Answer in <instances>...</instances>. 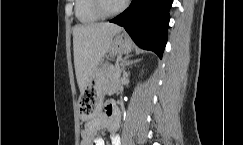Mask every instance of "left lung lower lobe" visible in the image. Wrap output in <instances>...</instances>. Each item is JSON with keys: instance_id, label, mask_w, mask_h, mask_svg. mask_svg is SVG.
I'll return each mask as SVG.
<instances>
[{"instance_id": "left-lung-lower-lobe-1", "label": "left lung lower lobe", "mask_w": 243, "mask_h": 145, "mask_svg": "<svg viewBox=\"0 0 243 145\" xmlns=\"http://www.w3.org/2000/svg\"><path fill=\"white\" fill-rule=\"evenodd\" d=\"M172 2L173 0H132L130 6L110 22L124 27L139 47L152 50L162 58Z\"/></svg>"}]
</instances>
